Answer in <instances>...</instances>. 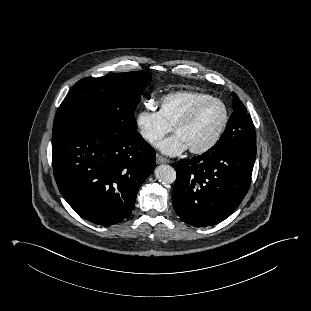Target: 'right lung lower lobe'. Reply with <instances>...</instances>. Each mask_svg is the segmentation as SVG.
Listing matches in <instances>:
<instances>
[{"instance_id":"1","label":"right lung lower lobe","mask_w":311,"mask_h":311,"mask_svg":"<svg viewBox=\"0 0 311 311\" xmlns=\"http://www.w3.org/2000/svg\"><path fill=\"white\" fill-rule=\"evenodd\" d=\"M59 191L84 219L113 225L128 217L139 187L155 167V150L136 131L128 135L70 132L53 137Z\"/></svg>"}]
</instances>
